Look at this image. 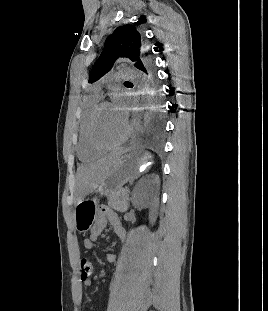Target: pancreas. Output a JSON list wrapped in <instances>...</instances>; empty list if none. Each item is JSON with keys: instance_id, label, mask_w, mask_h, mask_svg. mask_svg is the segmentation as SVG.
Here are the masks:
<instances>
[{"instance_id": "obj_1", "label": "pancreas", "mask_w": 268, "mask_h": 311, "mask_svg": "<svg viewBox=\"0 0 268 311\" xmlns=\"http://www.w3.org/2000/svg\"><path fill=\"white\" fill-rule=\"evenodd\" d=\"M108 205L117 212L124 213L129 207V195L123 190H117L107 197Z\"/></svg>"}]
</instances>
